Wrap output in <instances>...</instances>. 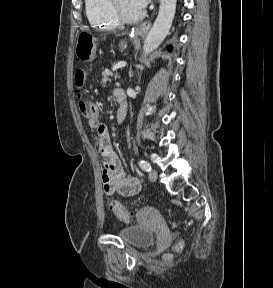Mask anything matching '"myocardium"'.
Segmentation results:
<instances>
[{
	"mask_svg": "<svg viewBox=\"0 0 273 288\" xmlns=\"http://www.w3.org/2000/svg\"><path fill=\"white\" fill-rule=\"evenodd\" d=\"M118 3L119 0H108L110 14L118 24H136L144 18L143 12L135 17H127L123 15L120 11Z\"/></svg>",
	"mask_w": 273,
	"mask_h": 288,
	"instance_id": "myocardium-1",
	"label": "myocardium"
}]
</instances>
